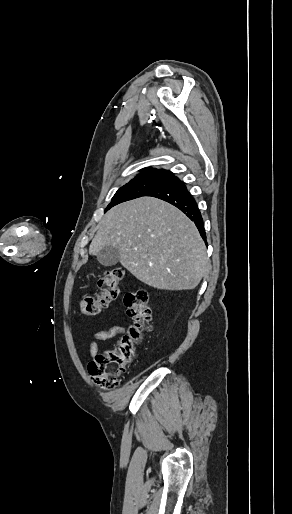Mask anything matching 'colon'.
I'll return each mask as SVG.
<instances>
[{
  "instance_id": "obj_1",
  "label": "colon",
  "mask_w": 292,
  "mask_h": 514,
  "mask_svg": "<svg viewBox=\"0 0 292 514\" xmlns=\"http://www.w3.org/2000/svg\"><path fill=\"white\" fill-rule=\"evenodd\" d=\"M124 272L122 269L106 271L97 281L99 292L83 296L80 302L84 316L95 317L105 309L120 293ZM126 308L133 320L129 334L123 336L119 344L96 355L88 364V373L94 383L106 391L118 386V379L126 366L135 357L137 347L143 341L144 329L152 319L150 295L147 289L134 288L125 299Z\"/></svg>"
}]
</instances>
